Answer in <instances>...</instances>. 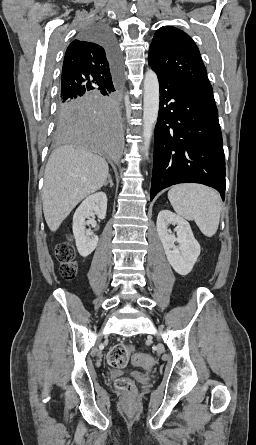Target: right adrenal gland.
<instances>
[{
  "mask_svg": "<svg viewBox=\"0 0 256 445\" xmlns=\"http://www.w3.org/2000/svg\"><path fill=\"white\" fill-rule=\"evenodd\" d=\"M108 184H110V187H113L114 185L110 174L108 175V180L104 183V186H107Z\"/></svg>",
  "mask_w": 256,
  "mask_h": 445,
  "instance_id": "right-adrenal-gland-1",
  "label": "right adrenal gland"
}]
</instances>
